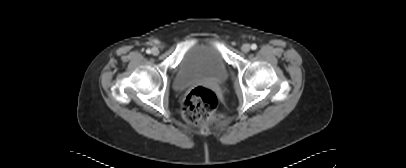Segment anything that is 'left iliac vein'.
<instances>
[{
  "instance_id": "1",
  "label": "left iliac vein",
  "mask_w": 406,
  "mask_h": 168,
  "mask_svg": "<svg viewBox=\"0 0 406 168\" xmlns=\"http://www.w3.org/2000/svg\"><path fill=\"white\" fill-rule=\"evenodd\" d=\"M250 49H251V47H250V45L247 44V43L243 44L242 47H241V50H242L244 53H248V52L250 51Z\"/></svg>"
}]
</instances>
